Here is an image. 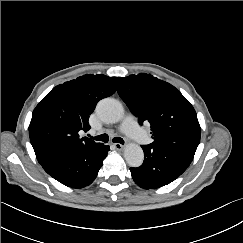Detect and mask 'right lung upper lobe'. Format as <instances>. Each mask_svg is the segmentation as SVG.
I'll return each instance as SVG.
<instances>
[{"instance_id": "1", "label": "right lung upper lobe", "mask_w": 243, "mask_h": 243, "mask_svg": "<svg viewBox=\"0 0 243 243\" xmlns=\"http://www.w3.org/2000/svg\"><path fill=\"white\" fill-rule=\"evenodd\" d=\"M117 77L86 74L53 88L36 106L29 125L30 142L38 161L67 151L99 145L82 132L99 100L115 93Z\"/></svg>"}]
</instances>
